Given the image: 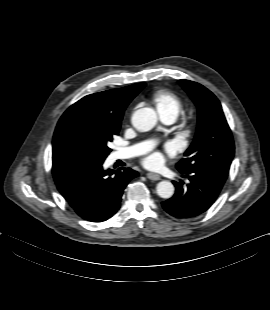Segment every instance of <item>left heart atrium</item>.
Returning <instances> with one entry per match:
<instances>
[{"label":"left heart atrium","mask_w":270,"mask_h":310,"mask_svg":"<svg viewBox=\"0 0 270 310\" xmlns=\"http://www.w3.org/2000/svg\"><path fill=\"white\" fill-rule=\"evenodd\" d=\"M160 158H161L160 153L154 152V153H151L150 155H148L145 158L144 163L147 166H155V165L159 164Z\"/></svg>","instance_id":"left-heart-atrium-1"}]
</instances>
